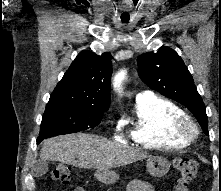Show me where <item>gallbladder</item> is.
Listing matches in <instances>:
<instances>
[{
  "mask_svg": "<svg viewBox=\"0 0 221 191\" xmlns=\"http://www.w3.org/2000/svg\"><path fill=\"white\" fill-rule=\"evenodd\" d=\"M48 171V162L39 160L33 167L32 174L35 177H41Z\"/></svg>",
  "mask_w": 221,
  "mask_h": 191,
  "instance_id": "gallbladder-1",
  "label": "gallbladder"
}]
</instances>
